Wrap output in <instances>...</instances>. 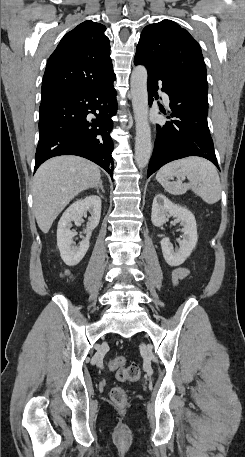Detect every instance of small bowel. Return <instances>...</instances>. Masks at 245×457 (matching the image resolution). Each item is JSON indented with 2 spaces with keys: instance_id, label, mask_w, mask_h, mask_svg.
Segmentation results:
<instances>
[{
  "instance_id": "obj_1",
  "label": "small bowel",
  "mask_w": 245,
  "mask_h": 457,
  "mask_svg": "<svg viewBox=\"0 0 245 457\" xmlns=\"http://www.w3.org/2000/svg\"><path fill=\"white\" fill-rule=\"evenodd\" d=\"M189 274V270L185 267H178V268H175L172 272H171V280H172V283L174 285H176L180 280L184 279L185 277H187ZM61 276L63 278H67V279H72V274L70 273V271L68 269H65L61 272Z\"/></svg>"
}]
</instances>
